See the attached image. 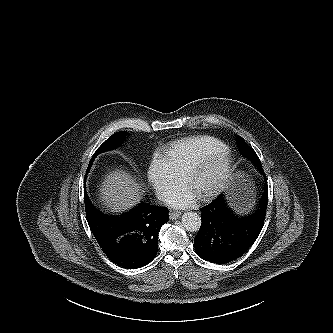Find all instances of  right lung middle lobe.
Here are the masks:
<instances>
[{
	"instance_id": "1",
	"label": "right lung middle lobe",
	"mask_w": 333,
	"mask_h": 333,
	"mask_svg": "<svg viewBox=\"0 0 333 333\" xmlns=\"http://www.w3.org/2000/svg\"><path fill=\"white\" fill-rule=\"evenodd\" d=\"M125 136H126V133H124V132H117V133L113 134L111 137H109L97 149V151L94 153L93 157L90 160V163H89L87 171L91 167V165H92V163H93V161H94V159L96 158L97 155H99L102 152L112 150V149L116 148L117 146H119L122 143V141L124 140Z\"/></svg>"
}]
</instances>
